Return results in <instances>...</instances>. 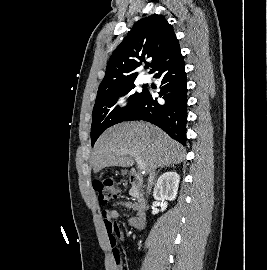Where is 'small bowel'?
Listing matches in <instances>:
<instances>
[{
    "label": "small bowel",
    "instance_id": "c3829d8e",
    "mask_svg": "<svg viewBox=\"0 0 267 270\" xmlns=\"http://www.w3.org/2000/svg\"><path fill=\"white\" fill-rule=\"evenodd\" d=\"M117 205L127 210H137L136 205L129 201H120L117 203ZM118 216L119 214L115 209L107 210V211H104L103 213L105 228L107 230L109 241L112 247H115L117 240L122 238V232L120 228L114 223V220L117 219ZM129 224L135 229L142 231L145 228V218L143 214L137 213L136 215L130 217ZM114 258H115V264L117 266L115 252H114Z\"/></svg>",
    "mask_w": 267,
    "mask_h": 270
}]
</instances>
